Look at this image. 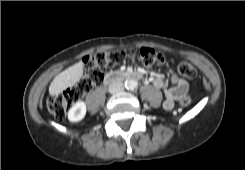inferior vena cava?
I'll use <instances>...</instances> for the list:
<instances>
[{
  "label": "inferior vena cava",
  "mask_w": 245,
  "mask_h": 170,
  "mask_svg": "<svg viewBox=\"0 0 245 170\" xmlns=\"http://www.w3.org/2000/svg\"><path fill=\"white\" fill-rule=\"evenodd\" d=\"M124 89V84L122 82H114L112 84L109 85V92L110 93H118V92H121L123 91Z\"/></svg>",
  "instance_id": "obj_1"
}]
</instances>
